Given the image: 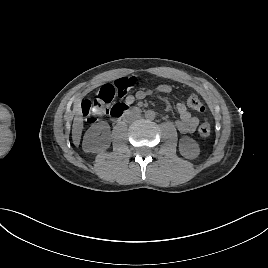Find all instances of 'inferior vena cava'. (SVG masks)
<instances>
[{"mask_svg": "<svg viewBox=\"0 0 268 268\" xmlns=\"http://www.w3.org/2000/svg\"><path fill=\"white\" fill-rule=\"evenodd\" d=\"M140 117V115L138 114V113H136V112H128L127 114H126V120H134V119H137V118H139Z\"/></svg>", "mask_w": 268, "mask_h": 268, "instance_id": "602c4592", "label": "inferior vena cava"}]
</instances>
